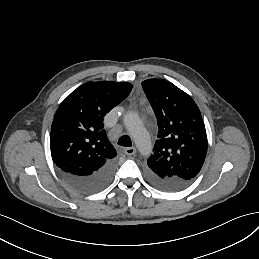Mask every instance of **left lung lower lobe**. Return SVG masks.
Listing matches in <instances>:
<instances>
[{"label": "left lung lower lobe", "instance_id": "0a47b994", "mask_svg": "<svg viewBox=\"0 0 259 259\" xmlns=\"http://www.w3.org/2000/svg\"><path fill=\"white\" fill-rule=\"evenodd\" d=\"M149 182L156 188L164 191H178L185 188L190 182L162 181L147 172Z\"/></svg>", "mask_w": 259, "mask_h": 259}]
</instances>
